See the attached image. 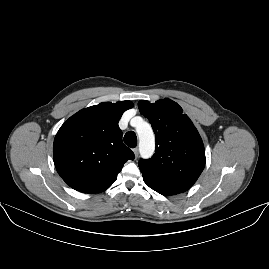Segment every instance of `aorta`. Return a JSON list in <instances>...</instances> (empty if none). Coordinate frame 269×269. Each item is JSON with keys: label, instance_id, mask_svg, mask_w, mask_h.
<instances>
[{"label": "aorta", "instance_id": "aorta-1", "mask_svg": "<svg viewBox=\"0 0 269 269\" xmlns=\"http://www.w3.org/2000/svg\"><path fill=\"white\" fill-rule=\"evenodd\" d=\"M140 119V123L137 125V132L139 136V151L144 158L151 157L155 149V136L151 126L143 122Z\"/></svg>", "mask_w": 269, "mask_h": 269}]
</instances>
